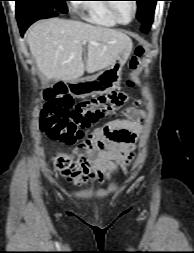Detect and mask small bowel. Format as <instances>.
<instances>
[{
	"mask_svg": "<svg viewBox=\"0 0 194 253\" xmlns=\"http://www.w3.org/2000/svg\"><path fill=\"white\" fill-rule=\"evenodd\" d=\"M122 114L124 118L95 128L73 149L72 154L78 157L63 172L68 182L76 186L93 180L103 182L132 161L145 113L137 107H127Z\"/></svg>",
	"mask_w": 194,
	"mask_h": 253,
	"instance_id": "obj_1",
	"label": "small bowel"
}]
</instances>
